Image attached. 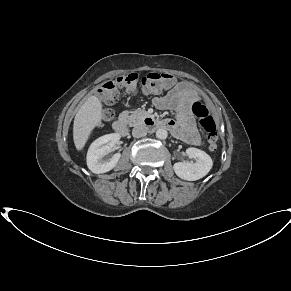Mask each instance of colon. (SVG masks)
<instances>
[{
	"label": "colon",
	"instance_id": "colon-1",
	"mask_svg": "<svg viewBox=\"0 0 291 291\" xmlns=\"http://www.w3.org/2000/svg\"><path fill=\"white\" fill-rule=\"evenodd\" d=\"M174 84V76L165 72H149L141 75L129 73L103 83L99 94L102 102L110 107L116 102L122 89L133 92L140 87L146 94H160L172 88ZM192 111L207 134L208 148L211 151H215L218 146V134L216 121L211 111L200 102L193 104ZM111 116L112 110L105 108L103 110V118L109 119Z\"/></svg>",
	"mask_w": 291,
	"mask_h": 291
}]
</instances>
